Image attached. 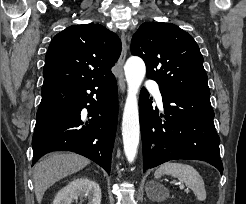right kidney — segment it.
Wrapping results in <instances>:
<instances>
[{
  "label": "right kidney",
  "mask_w": 246,
  "mask_h": 204,
  "mask_svg": "<svg viewBox=\"0 0 246 204\" xmlns=\"http://www.w3.org/2000/svg\"><path fill=\"white\" fill-rule=\"evenodd\" d=\"M78 198L86 200L87 204H101V189L86 177L77 178L57 193L52 204H71Z\"/></svg>",
  "instance_id": "ca27d5eb"
}]
</instances>
